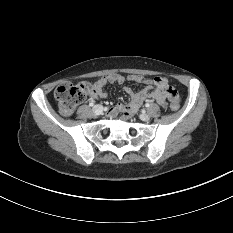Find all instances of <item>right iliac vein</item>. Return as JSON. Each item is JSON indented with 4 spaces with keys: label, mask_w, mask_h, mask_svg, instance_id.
<instances>
[{
    "label": "right iliac vein",
    "mask_w": 233,
    "mask_h": 233,
    "mask_svg": "<svg viewBox=\"0 0 233 233\" xmlns=\"http://www.w3.org/2000/svg\"><path fill=\"white\" fill-rule=\"evenodd\" d=\"M102 111H103V107L101 105H95L93 107V112L96 115H100L102 113Z\"/></svg>",
    "instance_id": "right-iliac-vein-1"
}]
</instances>
